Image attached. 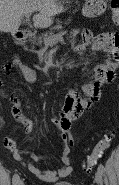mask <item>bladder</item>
I'll use <instances>...</instances> for the list:
<instances>
[{
  "mask_svg": "<svg viewBox=\"0 0 119 185\" xmlns=\"http://www.w3.org/2000/svg\"><path fill=\"white\" fill-rule=\"evenodd\" d=\"M54 185H74V184L68 181H60L55 183Z\"/></svg>",
  "mask_w": 119,
  "mask_h": 185,
  "instance_id": "1",
  "label": "bladder"
}]
</instances>
